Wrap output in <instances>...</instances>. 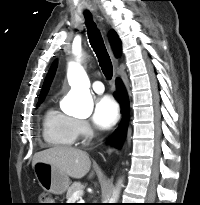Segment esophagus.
I'll return each mask as SVG.
<instances>
[{
	"instance_id": "obj_1",
	"label": "esophagus",
	"mask_w": 200,
	"mask_h": 205,
	"mask_svg": "<svg viewBox=\"0 0 200 205\" xmlns=\"http://www.w3.org/2000/svg\"><path fill=\"white\" fill-rule=\"evenodd\" d=\"M110 53H111V56L113 57V60H114V64H115V68L117 70V59L113 56V53L110 49ZM114 150V147L113 146H110L109 149H108V154H111Z\"/></svg>"
}]
</instances>
